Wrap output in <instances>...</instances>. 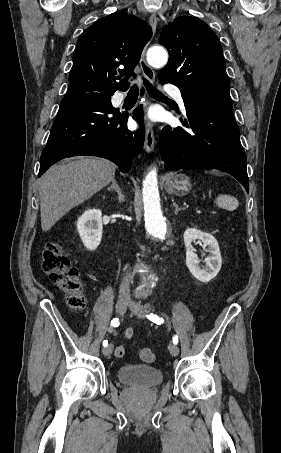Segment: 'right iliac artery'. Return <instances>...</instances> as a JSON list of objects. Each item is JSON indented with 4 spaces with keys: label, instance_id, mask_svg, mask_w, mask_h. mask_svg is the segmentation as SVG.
I'll use <instances>...</instances> for the list:
<instances>
[{
    "label": "right iliac artery",
    "instance_id": "1",
    "mask_svg": "<svg viewBox=\"0 0 281 453\" xmlns=\"http://www.w3.org/2000/svg\"><path fill=\"white\" fill-rule=\"evenodd\" d=\"M111 326H113V327H118V326H119V319H118V318H114V319L111 321ZM103 346H104V347H107V346H108V341H107V340H104V341H103Z\"/></svg>",
    "mask_w": 281,
    "mask_h": 453
}]
</instances>
